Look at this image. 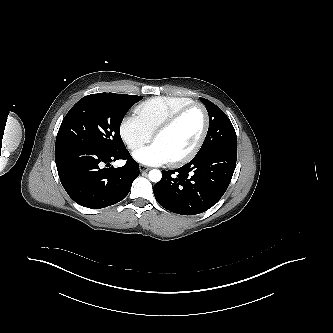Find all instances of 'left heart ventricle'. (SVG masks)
Here are the masks:
<instances>
[{"mask_svg": "<svg viewBox=\"0 0 333 333\" xmlns=\"http://www.w3.org/2000/svg\"><path fill=\"white\" fill-rule=\"evenodd\" d=\"M203 113L199 108L187 112L174 126L160 134L157 142L169 160L188 152L198 140L203 128Z\"/></svg>", "mask_w": 333, "mask_h": 333, "instance_id": "1", "label": "left heart ventricle"}]
</instances>
